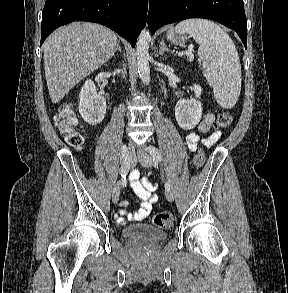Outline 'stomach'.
Here are the masks:
<instances>
[{
	"label": "stomach",
	"mask_w": 288,
	"mask_h": 293,
	"mask_svg": "<svg viewBox=\"0 0 288 293\" xmlns=\"http://www.w3.org/2000/svg\"><path fill=\"white\" fill-rule=\"evenodd\" d=\"M188 38L185 33H177L174 29H169L167 32V39L174 44H183Z\"/></svg>",
	"instance_id": "stomach-1"
}]
</instances>
